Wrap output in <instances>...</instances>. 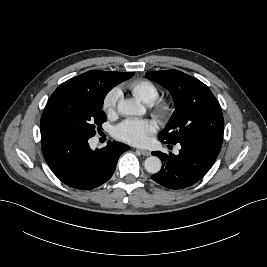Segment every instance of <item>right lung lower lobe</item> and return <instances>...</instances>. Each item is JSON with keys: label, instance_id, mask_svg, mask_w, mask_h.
<instances>
[{"label": "right lung lower lobe", "instance_id": "obj_1", "mask_svg": "<svg viewBox=\"0 0 267 267\" xmlns=\"http://www.w3.org/2000/svg\"><path fill=\"white\" fill-rule=\"evenodd\" d=\"M88 137L51 126H41L43 156L52 172L66 185L94 189L113 175L120 155L130 149L116 141L92 150Z\"/></svg>", "mask_w": 267, "mask_h": 267}]
</instances>
